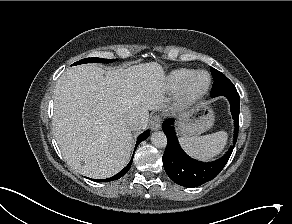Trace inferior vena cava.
<instances>
[{
  "instance_id": "inferior-vena-cava-1",
  "label": "inferior vena cava",
  "mask_w": 292,
  "mask_h": 224,
  "mask_svg": "<svg viewBox=\"0 0 292 224\" xmlns=\"http://www.w3.org/2000/svg\"><path fill=\"white\" fill-rule=\"evenodd\" d=\"M127 126L131 131H137L140 129V121L136 118H130L127 121Z\"/></svg>"
}]
</instances>
